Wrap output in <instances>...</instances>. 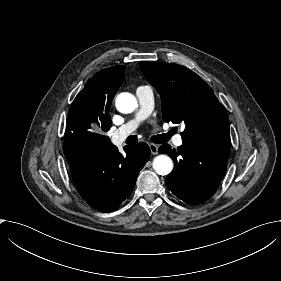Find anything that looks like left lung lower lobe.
I'll list each match as a JSON object with an SVG mask.
<instances>
[{
  "label": "left lung lower lobe",
  "instance_id": "obj_1",
  "mask_svg": "<svg viewBox=\"0 0 281 281\" xmlns=\"http://www.w3.org/2000/svg\"><path fill=\"white\" fill-rule=\"evenodd\" d=\"M158 151L174 161V170L166 178L168 189L184 202L197 205L216 192L226 172L230 144L183 143L177 151L164 144Z\"/></svg>",
  "mask_w": 281,
  "mask_h": 281
}]
</instances>
